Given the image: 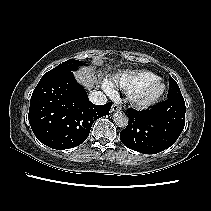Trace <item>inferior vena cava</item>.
I'll return each mask as SVG.
<instances>
[{"mask_svg": "<svg viewBox=\"0 0 211 211\" xmlns=\"http://www.w3.org/2000/svg\"><path fill=\"white\" fill-rule=\"evenodd\" d=\"M89 100L96 105H104L107 103L106 95L101 91H95L89 94Z\"/></svg>", "mask_w": 211, "mask_h": 211, "instance_id": "1", "label": "inferior vena cava"}]
</instances>
